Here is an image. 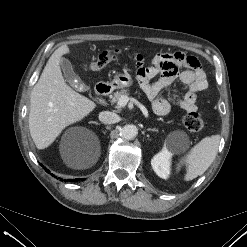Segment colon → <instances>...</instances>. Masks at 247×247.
<instances>
[{
  "label": "colon",
  "mask_w": 247,
  "mask_h": 247,
  "mask_svg": "<svg viewBox=\"0 0 247 247\" xmlns=\"http://www.w3.org/2000/svg\"><path fill=\"white\" fill-rule=\"evenodd\" d=\"M121 53L119 49L106 50L98 55V57L86 65L89 70H99L117 58ZM182 124L192 132H199L203 129L204 123L195 110L187 111L182 117Z\"/></svg>",
  "instance_id": "obj_1"
}]
</instances>
